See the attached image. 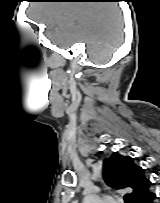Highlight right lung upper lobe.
<instances>
[{"label": "right lung upper lobe", "instance_id": "right-lung-upper-lobe-1", "mask_svg": "<svg viewBox=\"0 0 160 203\" xmlns=\"http://www.w3.org/2000/svg\"><path fill=\"white\" fill-rule=\"evenodd\" d=\"M103 172L105 182L114 189H132V203H141L151 193L152 183L146 179L144 169L137 166L130 156L114 152L104 160Z\"/></svg>", "mask_w": 160, "mask_h": 203}]
</instances>
